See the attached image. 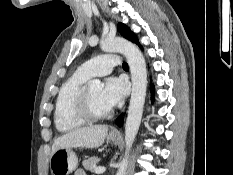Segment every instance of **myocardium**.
Returning <instances> with one entry per match:
<instances>
[{"instance_id": "1", "label": "myocardium", "mask_w": 233, "mask_h": 175, "mask_svg": "<svg viewBox=\"0 0 233 175\" xmlns=\"http://www.w3.org/2000/svg\"><path fill=\"white\" fill-rule=\"evenodd\" d=\"M74 112L81 119L87 122H96L111 116L112 111L109 109L103 113H97L92 108L87 89H82L74 103Z\"/></svg>"}]
</instances>
